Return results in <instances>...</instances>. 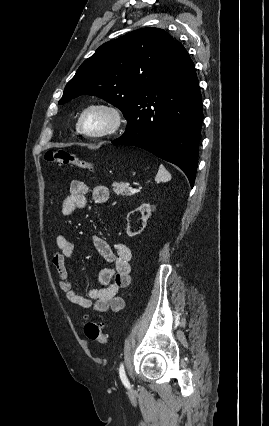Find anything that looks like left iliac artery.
Masks as SVG:
<instances>
[{"label": "left iliac artery", "mask_w": 269, "mask_h": 426, "mask_svg": "<svg viewBox=\"0 0 269 426\" xmlns=\"http://www.w3.org/2000/svg\"><path fill=\"white\" fill-rule=\"evenodd\" d=\"M119 376H120V379H121V381H122V383L127 387V388H130V383H129V381H128V379H127V376H126V374H125V369H124V365H123V363H121L120 364V367H119Z\"/></svg>", "instance_id": "left-iliac-artery-1"}]
</instances>
